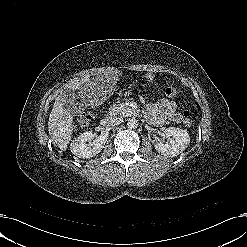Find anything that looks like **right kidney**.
Returning <instances> with one entry per match:
<instances>
[{"mask_svg": "<svg viewBox=\"0 0 247 247\" xmlns=\"http://www.w3.org/2000/svg\"><path fill=\"white\" fill-rule=\"evenodd\" d=\"M106 135L95 137L92 132H85L72 140L70 150L79 158L88 159L96 156L104 148L107 141Z\"/></svg>", "mask_w": 247, "mask_h": 247, "instance_id": "ca27d5eb", "label": "right kidney"}]
</instances>
